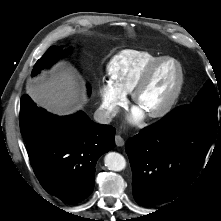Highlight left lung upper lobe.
<instances>
[{"mask_svg": "<svg viewBox=\"0 0 221 221\" xmlns=\"http://www.w3.org/2000/svg\"><path fill=\"white\" fill-rule=\"evenodd\" d=\"M167 121L178 126L221 127L217 119L216 99L211 81L202 88L199 95L188 105L177 108L166 116Z\"/></svg>", "mask_w": 221, "mask_h": 221, "instance_id": "1", "label": "left lung upper lobe"}]
</instances>
